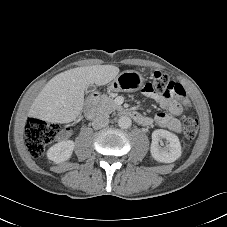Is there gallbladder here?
Wrapping results in <instances>:
<instances>
[{"label":"gallbladder","instance_id":"obj_1","mask_svg":"<svg viewBox=\"0 0 227 227\" xmlns=\"http://www.w3.org/2000/svg\"><path fill=\"white\" fill-rule=\"evenodd\" d=\"M96 90L95 85L91 84L86 88V93L94 92Z\"/></svg>","mask_w":227,"mask_h":227}]
</instances>
